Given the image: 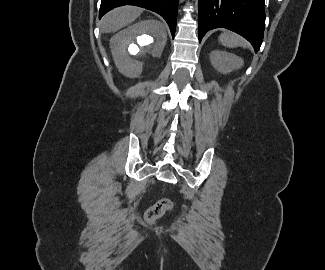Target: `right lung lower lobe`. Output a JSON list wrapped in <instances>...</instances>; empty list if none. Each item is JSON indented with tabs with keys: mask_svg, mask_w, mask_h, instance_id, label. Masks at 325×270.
<instances>
[{
	"mask_svg": "<svg viewBox=\"0 0 325 270\" xmlns=\"http://www.w3.org/2000/svg\"><path fill=\"white\" fill-rule=\"evenodd\" d=\"M179 0H102L99 17L111 9L122 5H135L154 11L161 15L169 25L174 38Z\"/></svg>",
	"mask_w": 325,
	"mask_h": 270,
	"instance_id": "1",
	"label": "right lung lower lobe"
}]
</instances>
